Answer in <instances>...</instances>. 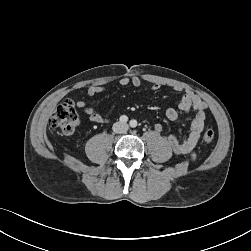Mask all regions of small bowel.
<instances>
[{
    "label": "small bowel",
    "mask_w": 251,
    "mask_h": 251,
    "mask_svg": "<svg viewBox=\"0 0 251 251\" xmlns=\"http://www.w3.org/2000/svg\"><path fill=\"white\" fill-rule=\"evenodd\" d=\"M141 84L142 81L137 76L123 77L119 81V85L123 88L139 87ZM160 87L161 86L156 83L152 85L151 89L153 91H157ZM108 89L109 88L104 85H93L89 87L87 93L88 96L93 97L99 93L107 91ZM175 91L183 92V96L178 105L179 109L185 113H192L193 116L190 123L189 135L182 140L178 139L174 135H170L168 142L176 154H190L192 158H195L194 149L200 141L204 128L206 103L197 94L190 90H183L180 87H176ZM77 107L84 112L92 122L103 124L109 121L108 118L104 117L98 109L89 106L84 101H78ZM165 115L167 119L172 122H182V117L174 108H168ZM155 130L160 132L162 130V125L156 124Z\"/></svg>",
    "instance_id": "1"
}]
</instances>
